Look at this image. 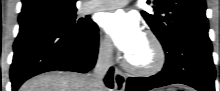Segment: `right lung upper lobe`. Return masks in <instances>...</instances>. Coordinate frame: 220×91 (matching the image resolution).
I'll use <instances>...</instances> for the list:
<instances>
[{"instance_id":"1","label":"right lung upper lobe","mask_w":220,"mask_h":91,"mask_svg":"<svg viewBox=\"0 0 220 91\" xmlns=\"http://www.w3.org/2000/svg\"><path fill=\"white\" fill-rule=\"evenodd\" d=\"M76 0H23L19 14L20 24L36 21L46 15L69 11L75 7Z\"/></svg>"}]
</instances>
